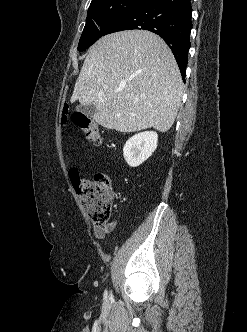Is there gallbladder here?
<instances>
[{
	"label": "gallbladder",
	"mask_w": 247,
	"mask_h": 332,
	"mask_svg": "<svg viewBox=\"0 0 247 332\" xmlns=\"http://www.w3.org/2000/svg\"><path fill=\"white\" fill-rule=\"evenodd\" d=\"M76 111L81 112L88 117H92L96 112V108L93 104H89V105L81 104L76 107Z\"/></svg>",
	"instance_id": "1"
}]
</instances>
